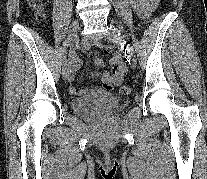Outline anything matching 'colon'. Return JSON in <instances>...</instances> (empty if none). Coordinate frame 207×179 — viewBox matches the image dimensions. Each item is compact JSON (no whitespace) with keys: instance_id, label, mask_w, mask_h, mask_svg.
Wrapping results in <instances>:
<instances>
[{"instance_id":"1","label":"colon","mask_w":207,"mask_h":179,"mask_svg":"<svg viewBox=\"0 0 207 179\" xmlns=\"http://www.w3.org/2000/svg\"><path fill=\"white\" fill-rule=\"evenodd\" d=\"M47 2L48 0H29L30 6L37 21H42L44 19ZM120 92L123 95H128L131 92V88L127 85H124L120 88Z\"/></svg>"}]
</instances>
